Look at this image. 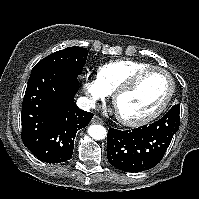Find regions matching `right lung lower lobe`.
<instances>
[{"label": "right lung lower lobe", "mask_w": 199, "mask_h": 199, "mask_svg": "<svg viewBox=\"0 0 199 199\" xmlns=\"http://www.w3.org/2000/svg\"><path fill=\"white\" fill-rule=\"evenodd\" d=\"M79 82L70 71L53 68L32 72L22 103V141L40 160L60 163L71 158L76 132L93 114L74 103Z\"/></svg>", "instance_id": "98d812e1"}]
</instances>
